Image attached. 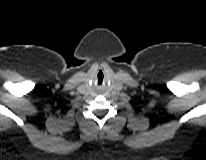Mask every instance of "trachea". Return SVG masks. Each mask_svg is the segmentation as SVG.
Returning a JSON list of instances; mask_svg holds the SVG:
<instances>
[{
    "label": "trachea",
    "instance_id": "obj_1",
    "mask_svg": "<svg viewBox=\"0 0 206 160\" xmlns=\"http://www.w3.org/2000/svg\"><path fill=\"white\" fill-rule=\"evenodd\" d=\"M103 79H104V75H103L102 71H99V73H98V75H97V78H96V80H97V82H98L99 85L102 84Z\"/></svg>",
    "mask_w": 206,
    "mask_h": 160
}]
</instances>
